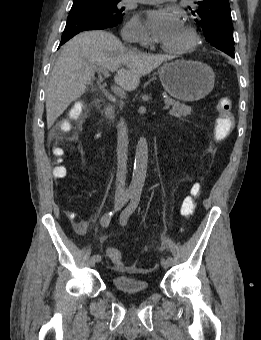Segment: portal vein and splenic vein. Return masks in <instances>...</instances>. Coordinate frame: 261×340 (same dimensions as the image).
Wrapping results in <instances>:
<instances>
[{"instance_id": "portal-vein-and-splenic-vein-1", "label": "portal vein and splenic vein", "mask_w": 261, "mask_h": 340, "mask_svg": "<svg viewBox=\"0 0 261 340\" xmlns=\"http://www.w3.org/2000/svg\"><path fill=\"white\" fill-rule=\"evenodd\" d=\"M96 70H98L100 73L103 74L104 77H109V71L107 68L105 67H94ZM112 91L114 94H116L117 96H120L121 98H124L125 95H124V91L117 87V86H112L111 87ZM170 108V105L166 104L163 109L164 110H168Z\"/></svg>"}]
</instances>
